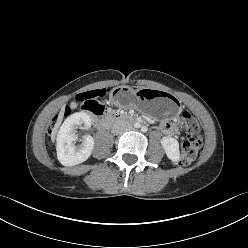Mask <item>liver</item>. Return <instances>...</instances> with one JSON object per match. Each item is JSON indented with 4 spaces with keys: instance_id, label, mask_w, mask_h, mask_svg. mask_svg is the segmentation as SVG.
I'll use <instances>...</instances> for the list:
<instances>
[{
    "instance_id": "liver-1",
    "label": "liver",
    "mask_w": 248,
    "mask_h": 248,
    "mask_svg": "<svg viewBox=\"0 0 248 248\" xmlns=\"http://www.w3.org/2000/svg\"><path fill=\"white\" fill-rule=\"evenodd\" d=\"M62 118H63V112H61V113L59 114L58 120H57V122H56V124H55V126H54V128H53V131H52V134H51V139H52V141L55 140V135H56V133H57V130H58V128H59V125L61 124Z\"/></svg>"
}]
</instances>
